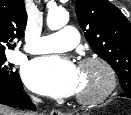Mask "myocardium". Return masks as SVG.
I'll return each mask as SVG.
<instances>
[{
	"instance_id": "1",
	"label": "myocardium",
	"mask_w": 131,
	"mask_h": 115,
	"mask_svg": "<svg viewBox=\"0 0 131 115\" xmlns=\"http://www.w3.org/2000/svg\"><path fill=\"white\" fill-rule=\"evenodd\" d=\"M89 64L98 65L103 69L106 74V84L100 91L92 95H77L76 100L84 105L96 104L105 100L113 93L117 85L116 72L107 60L100 56H88L80 60L79 68H82Z\"/></svg>"
}]
</instances>
